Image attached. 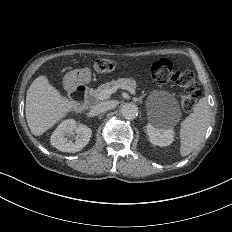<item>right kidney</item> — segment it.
I'll use <instances>...</instances> for the list:
<instances>
[{
  "label": "right kidney",
  "mask_w": 232,
  "mask_h": 232,
  "mask_svg": "<svg viewBox=\"0 0 232 232\" xmlns=\"http://www.w3.org/2000/svg\"><path fill=\"white\" fill-rule=\"evenodd\" d=\"M92 131L73 119L62 121L52 133L51 145L62 152H78L88 144ZM74 141V142H73Z\"/></svg>",
  "instance_id": "ca27d5eb"
}]
</instances>
